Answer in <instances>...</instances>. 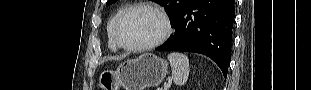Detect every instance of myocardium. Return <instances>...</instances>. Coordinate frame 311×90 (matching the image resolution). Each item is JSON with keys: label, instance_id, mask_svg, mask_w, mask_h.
I'll use <instances>...</instances> for the list:
<instances>
[{"label": "myocardium", "instance_id": "f54148a6", "mask_svg": "<svg viewBox=\"0 0 311 90\" xmlns=\"http://www.w3.org/2000/svg\"><path fill=\"white\" fill-rule=\"evenodd\" d=\"M140 9L152 11L159 16L163 24L162 33L156 40L148 44L139 45V46L127 45L121 40L119 36L120 26L122 22L124 21V19L129 14ZM171 32H172L171 21L168 15L166 14V12L161 7L153 5V4H148V3H140V4H135L133 6H130L118 17V19L116 20L115 26H114V39H115L116 44L124 50L130 51V52H145V51L154 49L160 46L161 44H163L168 39Z\"/></svg>", "mask_w": 311, "mask_h": 90}]
</instances>
